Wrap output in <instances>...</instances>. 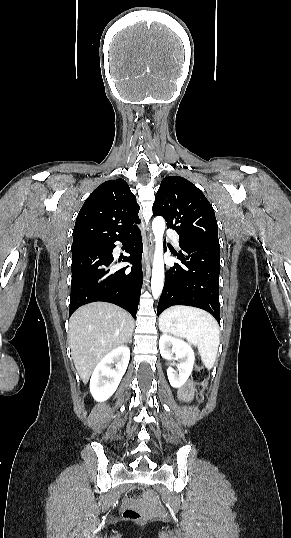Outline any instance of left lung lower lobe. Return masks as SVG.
I'll list each match as a JSON object with an SVG mask.
<instances>
[{
    "label": "left lung lower lobe",
    "mask_w": 291,
    "mask_h": 538,
    "mask_svg": "<svg viewBox=\"0 0 291 538\" xmlns=\"http://www.w3.org/2000/svg\"><path fill=\"white\" fill-rule=\"evenodd\" d=\"M180 244L181 264L165 273L157 313L173 305H187L210 312L220 323V246L204 243Z\"/></svg>",
    "instance_id": "1"
}]
</instances>
